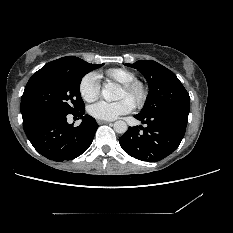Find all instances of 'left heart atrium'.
Here are the masks:
<instances>
[{"label": "left heart atrium", "mask_w": 233, "mask_h": 233, "mask_svg": "<svg viewBox=\"0 0 233 233\" xmlns=\"http://www.w3.org/2000/svg\"><path fill=\"white\" fill-rule=\"evenodd\" d=\"M133 108V102L129 98H123L116 102H96L89 107V113L96 119L111 121L130 113Z\"/></svg>", "instance_id": "1"}]
</instances>
